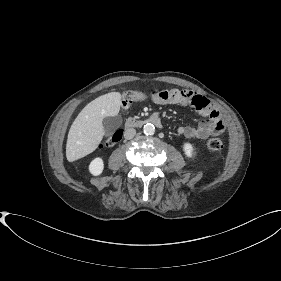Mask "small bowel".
<instances>
[{"mask_svg": "<svg viewBox=\"0 0 281 281\" xmlns=\"http://www.w3.org/2000/svg\"><path fill=\"white\" fill-rule=\"evenodd\" d=\"M152 100L158 105L194 107L206 117L196 127L180 126L178 128V133L186 138L206 139L211 135L221 134L225 130V122L218 108L196 92L179 89L153 91Z\"/></svg>", "mask_w": 281, "mask_h": 281, "instance_id": "small-bowel-1", "label": "small bowel"}]
</instances>
